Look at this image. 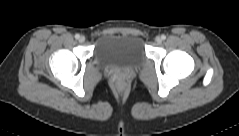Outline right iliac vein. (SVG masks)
Masks as SVG:
<instances>
[{"mask_svg":"<svg viewBox=\"0 0 239 136\" xmlns=\"http://www.w3.org/2000/svg\"><path fill=\"white\" fill-rule=\"evenodd\" d=\"M85 40H86V39H85V37H84V36H80V38H79V42H80V43H84V42H85Z\"/></svg>","mask_w":239,"mask_h":136,"instance_id":"obj_1","label":"right iliac vein"}]
</instances>
